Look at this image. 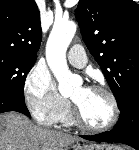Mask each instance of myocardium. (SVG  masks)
<instances>
[{"instance_id":"myocardium-1","label":"myocardium","mask_w":139,"mask_h":150,"mask_svg":"<svg viewBox=\"0 0 139 150\" xmlns=\"http://www.w3.org/2000/svg\"><path fill=\"white\" fill-rule=\"evenodd\" d=\"M90 89L102 92L108 97L110 104H111V109H112V114H111L110 120L105 125H102V126L89 125L82 118V115L80 113V110H79V107L77 106V104L73 100H71L72 119L78 127L82 128L86 131L96 132V133L109 131L117 124L119 117H120V106H119L118 99H117L116 95L109 88H107L105 86L93 85L90 87Z\"/></svg>"}]
</instances>
